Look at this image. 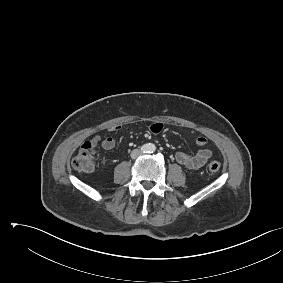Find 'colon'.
Returning <instances> with one entry per match:
<instances>
[{"mask_svg":"<svg viewBox=\"0 0 283 283\" xmlns=\"http://www.w3.org/2000/svg\"><path fill=\"white\" fill-rule=\"evenodd\" d=\"M94 144L86 141L72 159V167L80 172H90L94 169ZM221 164L217 160H211L208 168L211 172L219 171Z\"/></svg>","mask_w":283,"mask_h":283,"instance_id":"5ec220e1","label":"colon"}]
</instances>
